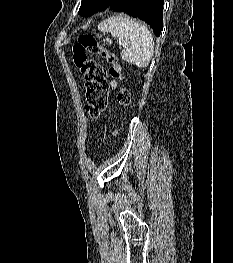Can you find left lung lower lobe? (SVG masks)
Returning <instances> with one entry per match:
<instances>
[{"label":"left lung lower lobe","mask_w":233,"mask_h":263,"mask_svg":"<svg viewBox=\"0 0 233 263\" xmlns=\"http://www.w3.org/2000/svg\"><path fill=\"white\" fill-rule=\"evenodd\" d=\"M108 9L144 20L156 36L163 28V0H115Z\"/></svg>","instance_id":"left-lung-lower-lobe-1"}]
</instances>
